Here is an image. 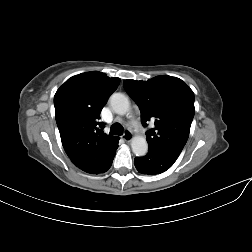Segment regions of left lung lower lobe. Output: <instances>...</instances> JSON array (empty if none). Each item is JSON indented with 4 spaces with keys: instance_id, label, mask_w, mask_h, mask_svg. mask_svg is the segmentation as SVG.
Masks as SVG:
<instances>
[{
    "instance_id": "1",
    "label": "left lung lower lobe",
    "mask_w": 252,
    "mask_h": 252,
    "mask_svg": "<svg viewBox=\"0 0 252 252\" xmlns=\"http://www.w3.org/2000/svg\"><path fill=\"white\" fill-rule=\"evenodd\" d=\"M178 155L156 146H149L144 157H136L134 164L141 174L156 175L168 170L177 160Z\"/></svg>"
}]
</instances>
